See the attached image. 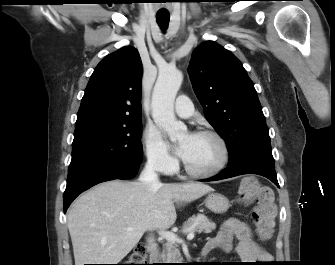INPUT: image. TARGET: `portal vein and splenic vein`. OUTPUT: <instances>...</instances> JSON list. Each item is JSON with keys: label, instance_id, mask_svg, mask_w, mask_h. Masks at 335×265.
I'll return each mask as SVG.
<instances>
[{"label": "portal vein and splenic vein", "instance_id": "1", "mask_svg": "<svg viewBox=\"0 0 335 265\" xmlns=\"http://www.w3.org/2000/svg\"><path fill=\"white\" fill-rule=\"evenodd\" d=\"M128 231H131L132 228H128L127 229ZM159 234L161 236H163L164 238H166V240L168 242H172V243H175V242H178V241H182L180 238L177 237L176 234H174L173 232H170V231H165V230H161L159 232ZM195 236V233L192 231V232H189L188 235H187V239L188 240H192Z\"/></svg>", "mask_w": 335, "mask_h": 265}]
</instances>
